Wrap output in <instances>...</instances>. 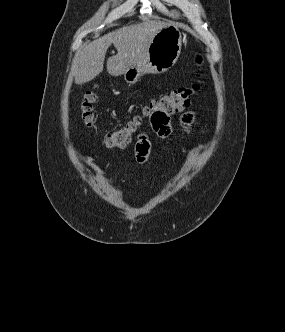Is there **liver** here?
<instances>
[{"mask_svg": "<svg viewBox=\"0 0 285 332\" xmlns=\"http://www.w3.org/2000/svg\"><path fill=\"white\" fill-rule=\"evenodd\" d=\"M168 25L158 20L145 21L122 27L89 43L73 61L75 83H87L103 71L105 55L111 44L117 49V54L107 60L110 75L120 76L131 67L141 64L147 56L153 37Z\"/></svg>", "mask_w": 285, "mask_h": 332, "instance_id": "6515ba94", "label": "liver"}]
</instances>
